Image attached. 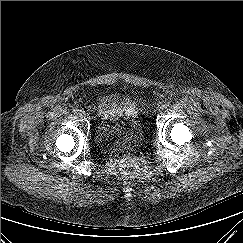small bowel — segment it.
I'll use <instances>...</instances> for the list:
<instances>
[{
  "label": "small bowel",
  "instance_id": "1",
  "mask_svg": "<svg viewBox=\"0 0 243 243\" xmlns=\"http://www.w3.org/2000/svg\"><path fill=\"white\" fill-rule=\"evenodd\" d=\"M120 98L121 96L118 94L101 97L98 103L100 114L106 118H118L121 116L123 108L118 105Z\"/></svg>",
  "mask_w": 243,
  "mask_h": 243
}]
</instances>
